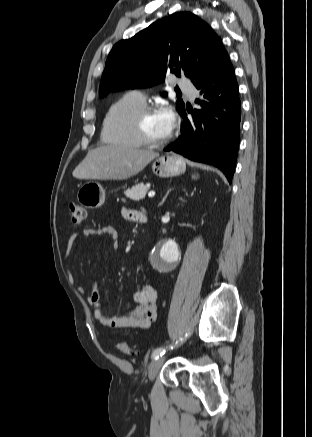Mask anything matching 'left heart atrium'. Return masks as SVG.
<instances>
[{
    "instance_id": "39dd6f15",
    "label": "left heart atrium",
    "mask_w": 312,
    "mask_h": 437,
    "mask_svg": "<svg viewBox=\"0 0 312 437\" xmlns=\"http://www.w3.org/2000/svg\"><path fill=\"white\" fill-rule=\"evenodd\" d=\"M159 117L162 120L165 131L170 134L173 129L175 116L171 109L166 108L159 112Z\"/></svg>"
}]
</instances>
